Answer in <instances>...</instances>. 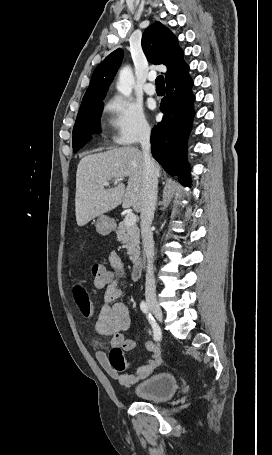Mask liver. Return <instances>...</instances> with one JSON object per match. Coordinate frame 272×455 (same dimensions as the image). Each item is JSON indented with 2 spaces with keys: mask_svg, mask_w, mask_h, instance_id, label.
I'll return each mask as SVG.
<instances>
[{
  "mask_svg": "<svg viewBox=\"0 0 272 455\" xmlns=\"http://www.w3.org/2000/svg\"><path fill=\"white\" fill-rule=\"evenodd\" d=\"M154 161V160H153ZM158 176L160 165L154 161ZM144 159L134 147H119L83 157L77 167L75 213L78 226H84L97 216L113 210L122 203L123 208L140 212L144 194ZM128 185L104 188V182L122 181Z\"/></svg>",
  "mask_w": 272,
  "mask_h": 455,
  "instance_id": "liver-1",
  "label": "liver"
}]
</instances>
